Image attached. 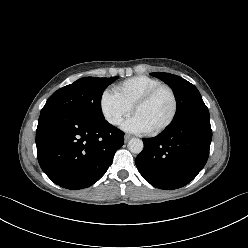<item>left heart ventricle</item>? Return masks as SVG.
Returning a JSON list of instances; mask_svg holds the SVG:
<instances>
[{"instance_id": "obj_1", "label": "left heart ventricle", "mask_w": 248, "mask_h": 248, "mask_svg": "<svg viewBox=\"0 0 248 248\" xmlns=\"http://www.w3.org/2000/svg\"><path fill=\"white\" fill-rule=\"evenodd\" d=\"M172 111V98L168 91L162 90L151 101L135 111L148 130H153L163 124Z\"/></svg>"}]
</instances>
